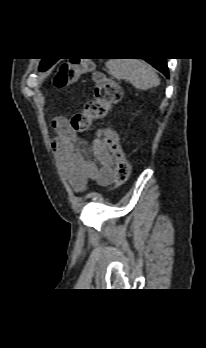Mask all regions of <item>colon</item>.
Instances as JSON below:
<instances>
[{"instance_id":"obj_1","label":"colon","mask_w":206,"mask_h":348,"mask_svg":"<svg viewBox=\"0 0 206 348\" xmlns=\"http://www.w3.org/2000/svg\"><path fill=\"white\" fill-rule=\"evenodd\" d=\"M92 60L88 58H73L62 63L53 78L57 88H65L74 84L85 73L92 70ZM122 98L120 85L103 73L95 74L92 98L85 104L84 109L75 113L71 119V127L76 131H87L94 120L104 118L111 107ZM105 146L114 158V176L117 184L127 182L131 175V166L120 145L118 133L112 128L98 131Z\"/></svg>"}]
</instances>
